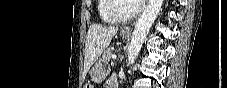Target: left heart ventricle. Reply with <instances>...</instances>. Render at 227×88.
I'll use <instances>...</instances> for the list:
<instances>
[{
	"label": "left heart ventricle",
	"instance_id": "obj_1",
	"mask_svg": "<svg viewBox=\"0 0 227 88\" xmlns=\"http://www.w3.org/2000/svg\"><path fill=\"white\" fill-rule=\"evenodd\" d=\"M135 6L136 4L131 0L118 1L116 3V11L120 15H128L134 11Z\"/></svg>",
	"mask_w": 227,
	"mask_h": 88
}]
</instances>
